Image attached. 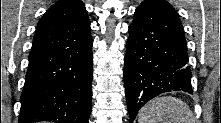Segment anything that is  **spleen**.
Wrapping results in <instances>:
<instances>
[{"instance_id":"spleen-1","label":"spleen","mask_w":221,"mask_h":123,"mask_svg":"<svg viewBox=\"0 0 221 123\" xmlns=\"http://www.w3.org/2000/svg\"><path fill=\"white\" fill-rule=\"evenodd\" d=\"M139 123H194L189 106L182 100L166 96L152 99L138 113Z\"/></svg>"}]
</instances>
